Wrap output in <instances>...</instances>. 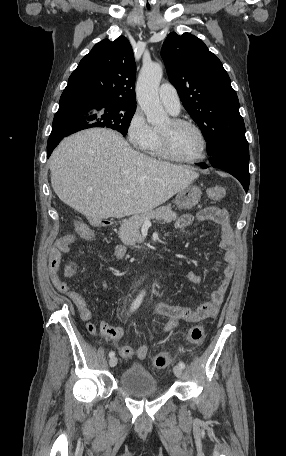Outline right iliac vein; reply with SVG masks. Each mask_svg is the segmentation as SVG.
<instances>
[{
	"label": "right iliac vein",
	"instance_id": "1",
	"mask_svg": "<svg viewBox=\"0 0 286 456\" xmlns=\"http://www.w3.org/2000/svg\"><path fill=\"white\" fill-rule=\"evenodd\" d=\"M117 364V358L116 357H112L110 360H109V365L110 367H115Z\"/></svg>",
	"mask_w": 286,
	"mask_h": 456
}]
</instances>
